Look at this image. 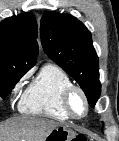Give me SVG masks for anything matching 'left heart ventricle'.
I'll return each mask as SVG.
<instances>
[{
  "label": "left heart ventricle",
  "instance_id": "b2bd125f",
  "mask_svg": "<svg viewBox=\"0 0 119 141\" xmlns=\"http://www.w3.org/2000/svg\"><path fill=\"white\" fill-rule=\"evenodd\" d=\"M72 108L73 111L78 115H81L84 111L83 100L78 94H75L72 98Z\"/></svg>",
  "mask_w": 119,
  "mask_h": 141
}]
</instances>
